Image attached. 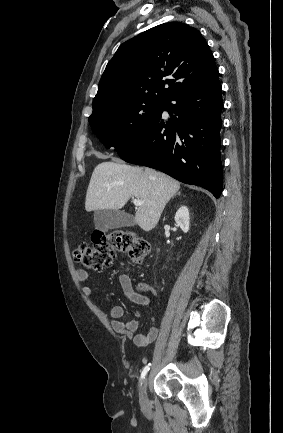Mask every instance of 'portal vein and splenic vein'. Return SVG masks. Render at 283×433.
Wrapping results in <instances>:
<instances>
[{
  "instance_id": "obj_1",
  "label": "portal vein and splenic vein",
  "mask_w": 283,
  "mask_h": 433,
  "mask_svg": "<svg viewBox=\"0 0 283 433\" xmlns=\"http://www.w3.org/2000/svg\"><path fill=\"white\" fill-rule=\"evenodd\" d=\"M133 202L135 206H140V204H144V200H139V198H134Z\"/></svg>"
}]
</instances>
